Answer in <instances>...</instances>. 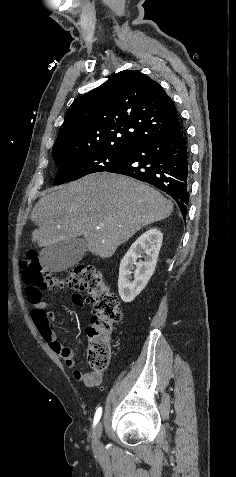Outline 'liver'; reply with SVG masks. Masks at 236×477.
<instances>
[{
  "label": "liver",
  "mask_w": 236,
  "mask_h": 477,
  "mask_svg": "<svg viewBox=\"0 0 236 477\" xmlns=\"http://www.w3.org/2000/svg\"><path fill=\"white\" fill-rule=\"evenodd\" d=\"M172 211L173 203L149 185L119 174H90L52 189L36 203L32 242L47 247L83 236L87 250L105 259Z\"/></svg>",
  "instance_id": "1"
}]
</instances>
